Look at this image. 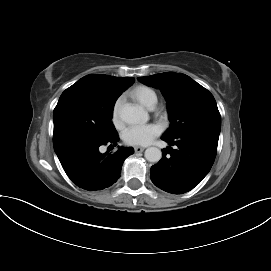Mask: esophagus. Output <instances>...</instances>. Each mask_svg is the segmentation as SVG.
<instances>
[{
	"instance_id": "1",
	"label": "esophagus",
	"mask_w": 271,
	"mask_h": 271,
	"mask_svg": "<svg viewBox=\"0 0 271 271\" xmlns=\"http://www.w3.org/2000/svg\"><path fill=\"white\" fill-rule=\"evenodd\" d=\"M134 150H135L136 153H141V152H143L145 150V148L140 147V146H136V147H134Z\"/></svg>"
}]
</instances>
